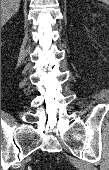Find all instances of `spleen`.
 <instances>
[{
	"instance_id": "1",
	"label": "spleen",
	"mask_w": 109,
	"mask_h": 170,
	"mask_svg": "<svg viewBox=\"0 0 109 170\" xmlns=\"http://www.w3.org/2000/svg\"><path fill=\"white\" fill-rule=\"evenodd\" d=\"M99 1L104 2L106 4L109 2V0H99Z\"/></svg>"
}]
</instances>
